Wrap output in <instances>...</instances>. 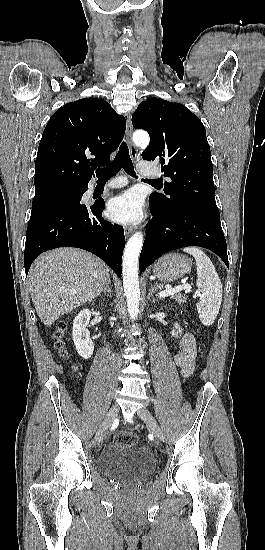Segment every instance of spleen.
Segmentation results:
<instances>
[{"label":"spleen","mask_w":265,"mask_h":550,"mask_svg":"<svg viewBox=\"0 0 265 550\" xmlns=\"http://www.w3.org/2000/svg\"><path fill=\"white\" fill-rule=\"evenodd\" d=\"M184 252L194 256L197 265V287L202 299L197 303L200 321L205 326L214 323L222 302V284L210 258L197 247H186Z\"/></svg>","instance_id":"1"}]
</instances>
